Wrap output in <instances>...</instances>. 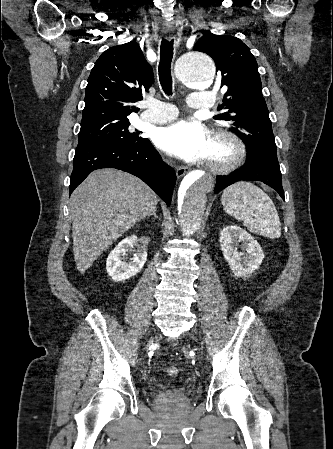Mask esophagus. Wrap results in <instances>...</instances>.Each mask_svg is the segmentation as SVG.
<instances>
[{"label": "esophagus", "mask_w": 333, "mask_h": 449, "mask_svg": "<svg viewBox=\"0 0 333 449\" xmlns=\"http://www.w3.org/2000/svg\"><path fill=\"white\" fill-rule=\"evenodd\" d=\"M165 35L168 40H171L174 37V32L171 29H166ZM186 172H187L186 167H178L176 170V175L178 178H181L186 174Z\"/></svg>", "instance_id": "34e87169"}]
</instances>
